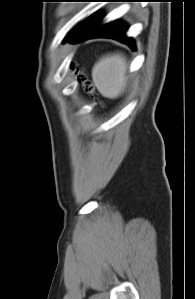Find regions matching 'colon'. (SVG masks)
Returning a JSON list of instances; mask_svg holds the SVG:
<instances>
[{
  "label": "colon",
  "mask_w": 195,
  "mask_h": 299,
  "mask_svg": "<svg viewBox=\"0 0 195 299\" xmlns=\"http://www.w3.org/2000/svg\"><path fill=\"white\" fill-rule=\"evenodd\" d=\"M77 74H78L79 79L83 82L86 91L92 92V86H91L90 82L86 79V77L79 71Z\"/></svg>",
  "instance_id": "5ec220e1"
}]
</instances>
